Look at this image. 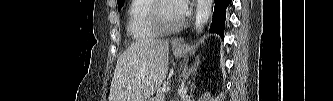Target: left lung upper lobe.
<instances>
[{
    "label": "left lung upper lobe",
    "instance_id": "5c2ea615",
    "mask_svg": "<svg viewBox=\"0 0 333 101\" xmlns=\"http://www.w3.org/2000/svg\"><path fill=\"white\" fill-rule=\"evenodd\" d=\"M117 3H118V10H120L124 4V0H117Z\"/></svg>",
    "mask_w": 333,
    "mask_h": 101
}]
</instances>
